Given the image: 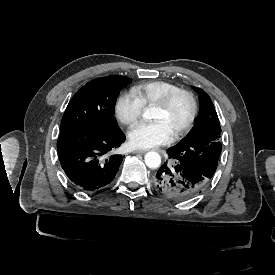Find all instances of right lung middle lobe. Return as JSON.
<instances>
[{
	"label": "right lung middle lobe",
	"instance_id": "dd1d6c3e",
	"mask_svg": "<svg viewBox=\"0 0 275 275\" xmlns=\"http://www.w3.org/2000/svg\"><path fill=\"white\" fill-rule=\"evenodd\" d=\"M129 82L128 77L108 76L87 83L69 101L61 128L82 126L103 134L119 130L114 106L118 92Z\"/></svg>",
	"mask_w": 275,
	"mask_h": 275
}]
</instances>
